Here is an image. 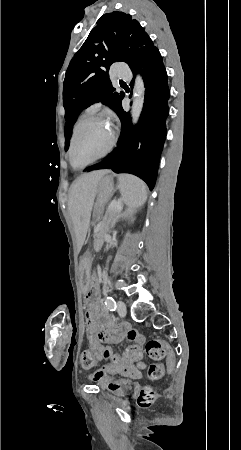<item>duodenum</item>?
<instances>
[{"label":"duodenum","mask_w":241,"mask_h":450,"mask_svg":"<svg viewBox=\"0 0 241 450\" xmlns=\"http://www.w3.org/2000/svg\"><path fill=\"white\" fill-rule=\"evenodd\" d=\"M91 290L92 291H96L97 290V284H96V282L94 280L91 283Z\"/></svg>","instance_id":"410a0bca"}]
</instances>
